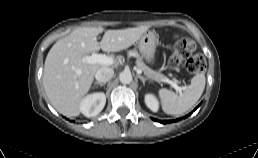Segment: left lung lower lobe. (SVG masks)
Wrapping results in <instances>:
<instances>
[{"label": "left lung lower lobe", "mask_w": 258, "mask_h": 158, "mask_svg": "<svg viewBox=\"0 0 258 158\" xmlns=\"http://www.w3.org/2000/svg\"><path fill=\"white\" fill-rule=\"evenodd\" d=\"M194 110H196V108ZM153 120L158 121V122L163 123V124H166V123H171V122L178 121L179 119H177V120H163V121H160V120H157V119H153Z\"/></svg>", "instance_id": "obj_1"}]
</instances>
